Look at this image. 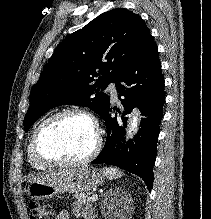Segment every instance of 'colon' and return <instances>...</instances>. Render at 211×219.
<instances>
[{
	"mask_svg": "<svg viewBox=\"0 0 211 219\" xmlns=\"http://www.w3.org/2000/svg\"><path fill=\"white\" fill-rule=\"evenodd\" d=\"M30 219H53L52 209L37 203L29 204Z\"/></svg>",
	"mask_w": 211,
	"mask_h": 219,
	"instance_id": "1",
	"label": "colon"
}]
</instances>
